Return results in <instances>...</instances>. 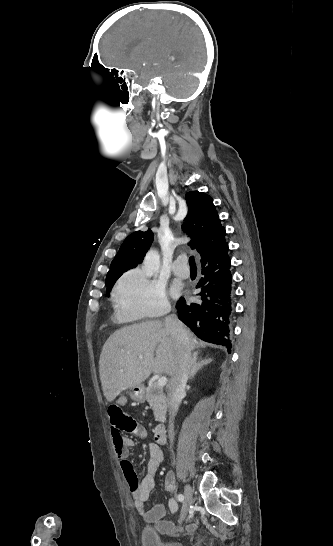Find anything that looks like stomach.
I'll return each instance as SVG.
<instances>
[{
    "label": "stomach",
    "mask_w": 333,
    "mask_h": 546,
    "mask_svg": "<svg viewBox=\"0 0 333 546\" xmlns=\"http://www.w3.org/2000/svg\"><path fill=\"white\" fill-rule=\"evenodd\" d=\"M128 394L130 398L137 403H143L145 401V390L143 385L131 387Z\"/></svg>",
    "instance_id": "1"
}]
</instances>
